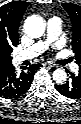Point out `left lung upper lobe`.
Here are the masks:
<instances>
[{
	"label": "left lung upper lobe",
	"instance_id": "5c2ea615",
	"mask_svg": "<svg viewBox=\"0 0 81 124\" xmlns=\"http://www.w3.org/2000/svg\"><path fill=\"white\" fill-rule=\"evenodd\" d=\"M62 6L72 22V50L75 53L76 63L81 64V6L73 3H62Z\"/></svg>",
	"mask_w": 81,
	"mask_h": 124
}]
</instances>
